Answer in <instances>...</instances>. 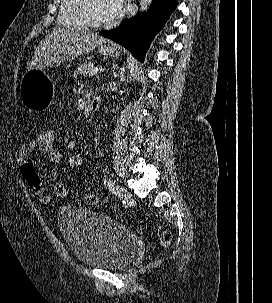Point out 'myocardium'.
I'll return each instance as SVG.
<instances>
[{
    "label": "myocardium",
    "mask_w": 272,
    "mask_h": 303,
    "mask_svg": "<svg viewBox=\"0 0 272 303\" xmlns=\"http://www.w3.org/2000/svg\"><path fill=\"white\" fill-rule=\"evenodd\" d=\"M91 0H79L78 12L87 27L92 29H105L113 25L112 21L100 23L93 19L90 11Z\"/></svg>",
    "instance_id": "obj_1"
}]
</instances>
